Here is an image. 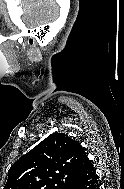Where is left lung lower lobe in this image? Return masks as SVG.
Returning a JSON list of instances; mask_svg holds the SVG:
<instances>
[{"label": "left lung lower lobe", "mask_w": 124, "mask_h": 189, "mask_svg": "<svg viewBox=\"0 0 124 189\" xmlns=\"http://www.w3.org/2000/svg\"><path fill=\"white\" fill-rule=\"evenodd\" d=\"M71 189H98V180L94 166L88 160L83 170L70 180Z\"/></svg>", "instance_id": "0a47b994"}]
</instances>
